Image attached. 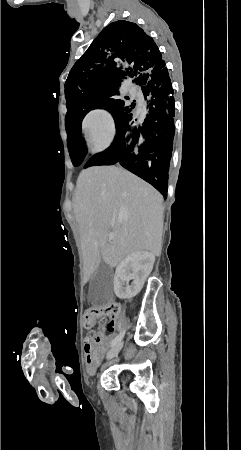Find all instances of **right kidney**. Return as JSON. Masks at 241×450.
Returning a JSON list of instances; mask_svg holds the SVG:
<instances>
[{"label":"right kidney","instance_id":"obj_1","mask_svg":"<svg viewBox=\"0 0 241 450\" xmlns=\"http://www.w3.org/2000/svg\"><path fill=\"white\" fill-rule=\"evenodd\" d=\"M155 262L151 252H132L118 264L114 276V292L121 300H131L139 294ZM130 280H133L129 284Z\"/></svg>","mask_w":241,"mask_h":450}]
</instances>
